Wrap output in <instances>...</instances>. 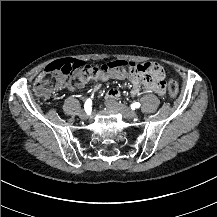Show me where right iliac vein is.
I'll list each match as a JSON object with an SVG mask.
<instances>
[{
	"label": "right iliac vein",
	"instance_id": "1",
	"mask_svg": "<svg viewBox=\"0 0 217 217\" xmlns=\"http://www.w3.org/2000/svg\"><path fill=\"white\" fill-rule=\"evenodd\" d=\"M79 117L82 119V120H87L89 118V115L82 111L80 114H79Z\"/></svg>",
	"mask_w": 217,
	"mask_h": 217
}]
</instances>
